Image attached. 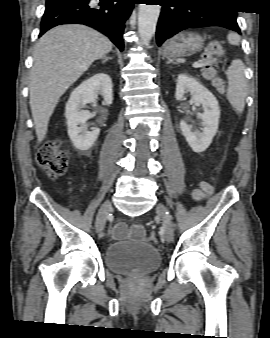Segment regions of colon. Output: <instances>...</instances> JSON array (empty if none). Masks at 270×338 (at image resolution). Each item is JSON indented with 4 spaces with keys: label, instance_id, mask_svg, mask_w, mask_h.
Here are the masks:
<instances>
[{
    "label": "colon",
    "instance_id": "1",
    "mask_svg": "<svg viewBox=\"0 0 270 338\" xmlns=\"http://www.w3.org/2000/svg\"><path fill=\"white\" fill-rule=\"evenodd\" d=\"M224 55V46L219 43H212L206 46L203 52V61L205 66L203 71L206 75L215 76V62L220 60ZM214 85L221 87L222 83L219 79H214ZM37 161L50 179H57L63 176L68 165V153L56 142H46L38 150ZM213 191L211 183L202 182L198 190L194 192V197L201 200ZM149 240L156 242L155 235H151Z\"/></svg>",
    "mask_w": 270,
    "mask_h": 338
}]
</instances>
